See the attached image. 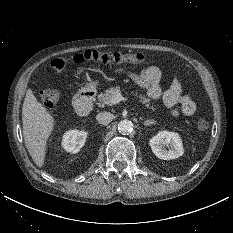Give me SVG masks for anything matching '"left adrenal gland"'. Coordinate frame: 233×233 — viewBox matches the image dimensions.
Wrapping results in <instances>:
<instances>
[{
	"label": "left adrenal gland",
	"instance_id": "left-adrenal-gland-1",
	"mask_svg": "<svg viewBox=\"0 0 233 233\" xmlns=\"http://www.w3.org/2000/svg\"><path fill=\"white\" fill-rule=\"evenodd\" d=\"M153 124H156L155 120H146V121L143 122L144 126H150V125H153Z\"/></svg>",
	"mask_w": 233,
	"mask_h": 233
}]
</instances>
